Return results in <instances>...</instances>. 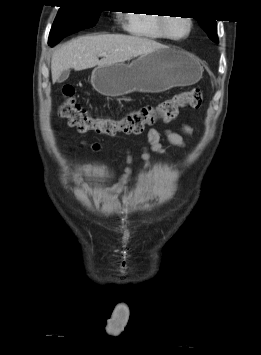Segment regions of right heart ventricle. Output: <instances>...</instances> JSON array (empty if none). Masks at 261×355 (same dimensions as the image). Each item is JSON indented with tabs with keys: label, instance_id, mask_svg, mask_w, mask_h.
<instances>
[{
	"label": "right heart ventricle",
	"instance_id": "e07e8e85",
	"mask_svg": "<svg viewBox=\"0 0 261 355\" xmlns=\"http://www.w3.org/2000/svg\"><path fill=\"white\" fill-rule=\"evenodd\" d=\"M162 17L143 12L127 14V29L135 36L155 40H165L166 37L161 29Z\"/></svg>",
	"mask_w": 261,
	"mask_h": 355
}]
</instances>
